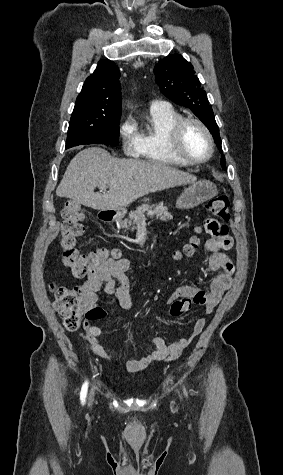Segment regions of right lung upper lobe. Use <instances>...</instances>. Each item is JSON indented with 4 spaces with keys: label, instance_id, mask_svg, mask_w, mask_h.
<instances>
[{
    "label": "right lung upper lobe",
    "instance_id": "cb5924a9",
    "mask_svg": "<svg viewBox=\"0 0 283 475\" xmlns=\"http://www.w3.org/2000/svg\"><path fill=\"white\" fill-rule=\"evenodd\" d=\"M120 72L110 60H100L94 73L86 78L76 103L121 104Z\"/></svg>",
    "mask_w": 283,
    "mask_h": 475
}]
</instances>
